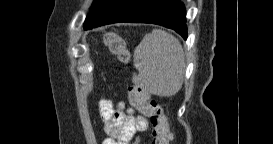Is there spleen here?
<instances>
[{"label": "spleen", "mask_w": 273, "mask_h": 144, "mask_svg": "<svg viewBox=\"0 0 273 144\" xmlns=\"http://www.w3.org/2000/svg\"><path fill=\"white\" fill-rule=\"evenodd\" d=\"M138 75L132 81L147 92L163 97L175 95L184 78L185 57L180 41L161 29L146 34L133 53Z\"/></svg>", "instance_id": "spleen-1"}]
</instances>
